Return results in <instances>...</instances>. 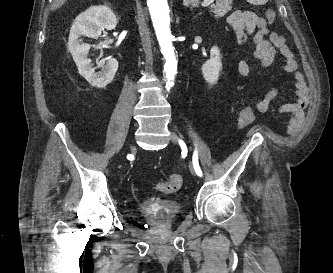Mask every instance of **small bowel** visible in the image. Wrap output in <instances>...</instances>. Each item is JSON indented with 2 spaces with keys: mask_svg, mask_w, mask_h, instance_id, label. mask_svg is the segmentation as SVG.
I'll list each match as a JSON object with an SVG mask.
<instances>
[{
  "mask_svg": "<svg viewBox=\"0 0 333 273\" xmlns=\"http://www.w3.org/2000/svg\"><path fill=\"white\" fill-rule=\"evenodd\" d=\"M228 22L234 30L240 45L252 42L254 45L253 56L259 62L260 68L266 69L270 67L274 63L277 54H281L284 57L285 63L282 68L294 76L295 96L297 99L293 103L283 105L281 109L291 114L292 128L295 129L305 106L304 80L298 69L297 60L288 48L284 37L270 30L268 20L251 10H235L229 16ZM237 70L243 77L248 78L252 75L251 67L244 60L238 61ZM277 95L278 90L272 89L263 98H251V100L257 111L266 112Z\"/></svg>",
  "mask_w": 333,
  "mask_h": 273,
  "instance_id": "c3829d8e",
  "label": "small bowel"
}]
</instances>
